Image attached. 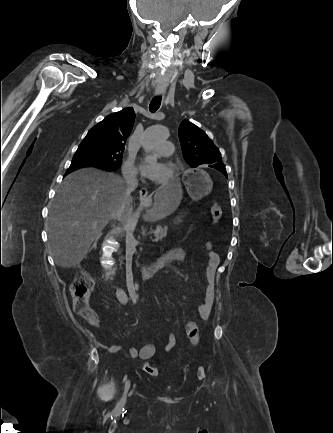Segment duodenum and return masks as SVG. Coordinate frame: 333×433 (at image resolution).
I'll return each instance as SVG.
<instances>
[{"label": "duodenum", "mask_w": 333, "mask_h": 433, "mask_svg": "<svg viewBox=\"0 0 333 433\" xmlns=\"http://www.w3.org/2000/svg\"><path fill=\"white\" fill-rule=\"evenodd\" d=\"M170 258H171V256H164V257L158 258L153 263L142 267V269H141L142 279L147 280V279L151 278L161 268V266L165 262L170 260Z\"/></svg>", "instance_id": "duodenum-1"}]
</instances>
